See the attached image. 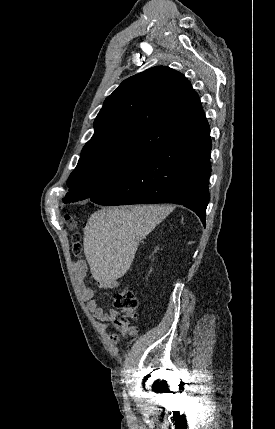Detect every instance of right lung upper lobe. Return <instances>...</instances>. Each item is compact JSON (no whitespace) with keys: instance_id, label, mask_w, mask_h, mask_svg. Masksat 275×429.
<instances>
[{"instance_id":"obj_1","label":"right lung upper lobe","mask_w":275,"mask_h":429,"mask_svg":"<svg viewBox=\"0 0 275 429\" xmlns=\"http://www.w3.org/2000/svg\"><path fill=\"white\" fill-rule=\"evenodd\" d=\"M208 127L198 94L188 79L169 67H152L124 80L107 97L81 158L117 146L151 155Z\"/></svg>"}]
</instances>
